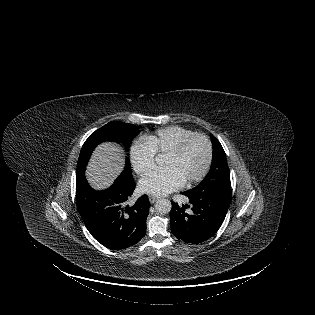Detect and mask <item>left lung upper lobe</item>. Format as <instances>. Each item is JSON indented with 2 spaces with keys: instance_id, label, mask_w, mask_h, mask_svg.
I'll use <instances>...</instances> for the list:
<instances>
[{
  "instance_id": "obj_1",
  "label": "left lung upper lobe",
  "mask_w": 315,
  "mask_h": 315,
  "mask_svg": "<svg viewBox=\"0 0 315 315\" xmlns=\"http://www.w3.org/2000/svg\"><path fill=\"white\" fill-rule=\"evenodd\" d=\"M213 144V159L211 168L204 180L195 188L212 190L219 194L231 195L230 172L226 154L220 142L210 135Z\"/></svg>"
}]
</instances>
